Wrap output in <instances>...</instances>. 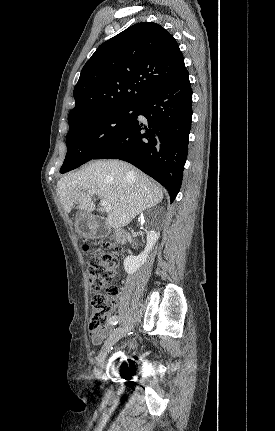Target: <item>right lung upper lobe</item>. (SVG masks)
<instances>
[{"label":"right lung upper lobe","mask_w":275,"mask_h":431,"mask_svg":"<svg viewBox=\"0 0 275 431\" xmlns=\"http://www.w3.org/2000/svg\"><path fill=\"white\" fill-rule=\"evenodd\" d=\"M173 36L152 22L135 24L98 47L74 88L68 123L114 106H137L185 71Z\"/></svg>","instance_id":"1"}]
</instances>
